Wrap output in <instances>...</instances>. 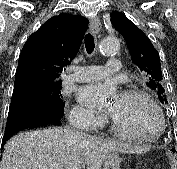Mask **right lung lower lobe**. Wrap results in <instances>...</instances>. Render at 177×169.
<instances>
[{
	"label": "right lung lower lobe",
	"mask_w": 177,
	"mask_h": 169,
	"mask_svg": "<svg viewBox=\"0 0 177 169\" xmlns=\"http://www.w3.org/2000/svg\"><path fill=\"white\" fill-rule=\"evenodd\" d=\"M32 81L19 80L14 83L12 97H17L23 88ZM64 114L62 110L54 109L49 105H42L32 101H16L10 104L9 114L5 133L2 139V146L15 133L28 129L47 125L61 124V117Z\"/></svg>",
	"instance_id": "right-lung-lower-lobe-1"
}]
</instances>
